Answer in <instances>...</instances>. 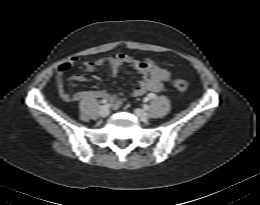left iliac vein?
Returning a JSON list of instances; mask_svg holds the SVG:
<instances>
[{"label": "left iliac vein", "mask_w": 260, "mask_h": 205, "mask_svg": "<svg viewBox=\"0 0 260 205\" xmlns=\"http://www.w3.org/2000/svg\"><path fill=\"white\" fill-rule=\"evenodd\" d=\"M135 114L143 122H146L149 119L148 113L142 109L139 108L135 109Z\"/></svg>", "instance_id": "4c4485c4"}]
</instances>
